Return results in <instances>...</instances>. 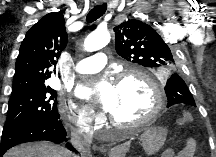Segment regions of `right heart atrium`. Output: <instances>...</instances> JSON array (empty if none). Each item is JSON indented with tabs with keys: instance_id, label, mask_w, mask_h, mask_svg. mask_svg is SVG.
<instances>
[{
	"instance_id": "1",
	"label": "right heart atrium",
	"mask_w": 216,
	"mask_h": 157,
	"mask_svg": "<svg viewBox=\"0 0 216 157\" xmlns=\"http://www.w3.org/2000/svg\"><path fill=\"white\" fill-rule=\"evenodd\" d=\"M61 119L72 129L80 133H89L102 118L92 110L77 106L72 102L62 101L58 106Z\"/></svg>"
}]
</instances>
